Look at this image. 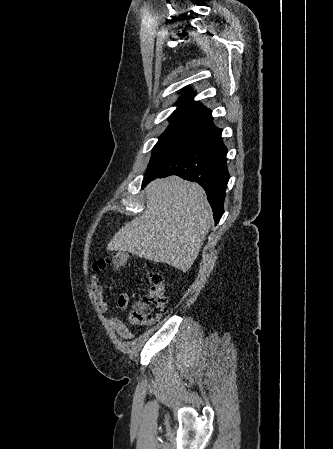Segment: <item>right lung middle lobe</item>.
Instances as JSON below:
<instances>
[{
    "label": "right lung middle lobe",
    "instance_id": "right-lung-middle-lobe-1",
    "mask_svg": "<svg viewBox=\"0 0 333 449\" xmlns=\"http://www.w3.org/2000/svg\"><path fill=\"white\" fill-rule=\"evenodd\" d=\"M200 132V129L192 127H168L152 149V157L146 174L174 150Z\"/></svg>",
    "mask_w": 333,
    "mask_h": 449
}]
</instances>
